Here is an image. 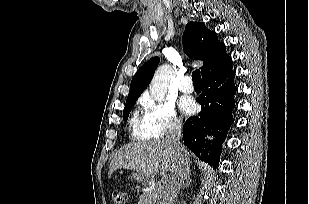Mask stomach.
<instances>
[{"mask_svg": "<svg viewBox=\"0 0 309 204\" xmlns=\"http://www.w3.org/2000/svg\"><path fill=\"white\" fill-rule=\"evenodd\" d=\"M130 177L131 179H134L135 181L145 185V186H148L152 180V178L150 176H146V175H143L141 173H137V172H132L130 174Z\"/></svg>", "mask_w": 309, "mask_h": 204, "instance_id": "1", "label": "stomach"}]
</instances>
